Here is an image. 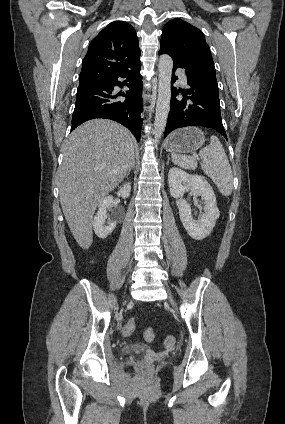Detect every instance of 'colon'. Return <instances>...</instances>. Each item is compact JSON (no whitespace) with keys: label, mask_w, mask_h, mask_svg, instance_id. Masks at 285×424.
<instances>
[{"label":"colon","mask_w":285,"mask_h":424,"mask_svg":"<svg viewBox=\"0 0 285 424\" xmlns=\"http://www.w3.org/2000/svg\"><path fill=\"white\" fill-rule=\"evenodd\" d=\"M135 326H136L135 319H130L124 326V329H123L124 335L126 336L131 335L135 330ZM143 337L146 341H152L154 339V330L152 328L145 329L143 333ZM174 341L175 339L173 336H167L165 339V344L170 346L174 344Z\"/></svg>","instance_id":"5ec220e1"}]
</instances>
